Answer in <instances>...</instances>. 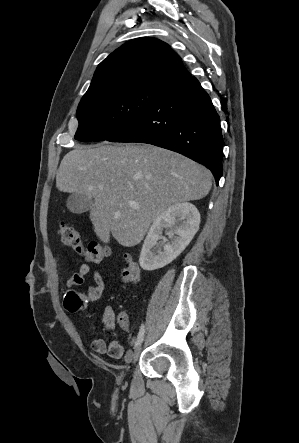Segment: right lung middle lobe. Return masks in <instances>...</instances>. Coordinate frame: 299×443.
Masks as SVG:
<instances>
[{
	"label": "right lung middle lobe",
	"mask_w": 299,
	"mask_h": 443,
	"mask_svg": "<svg viewBox=\"0 0 299 443\" xmlns=\"http://www.w3.org/2000/svg\"><path fill=\"white\" fill-rule=\"evenodd\" d=\"M164 91L147 87L119 88L81 99L75 139L82 142L107 140L136 121Z\"/></svg>",
	"instance_id": "1"
}]
</instances>
